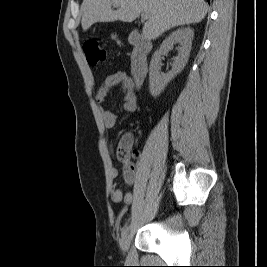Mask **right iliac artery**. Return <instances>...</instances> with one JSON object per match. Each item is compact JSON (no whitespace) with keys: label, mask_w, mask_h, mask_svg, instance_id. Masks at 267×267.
I'll list each match as a JSON object with an SVG mask.
<instances>
[{"label":"right iliac artery","mask_w":267,"mask_h":267,"mask_svg":"<svg viewBox=\"0 0 267 267\" xmlns=\"http://www.w3.org/2000/svg\"><path fill=\"white\" fill-rule=\"evenodd\" d=\"M127 232H128V226H125L121 233L122 238L127 235Z\"/></svg>","instance_id":"1"}]
</instances>
